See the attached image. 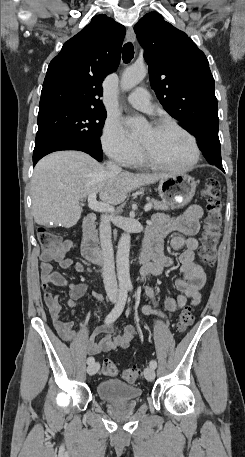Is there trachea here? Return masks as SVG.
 Segmentation results:
<instances>
[{"label": "trachea", "instance_id": "3493384b", "mask_svg": "<svg viewBox=\"0 0 245 457\" xmlns=\"http://www.w3.org/2000/svg\"><path fill=\"white\" fill-rule=\"evenodd\" d=\"M134 56V47L132 43H126L122 50V58L124 63H129Z\"/></svg>", "mask_w": 245, "mask_h": 457}]
</instances>
